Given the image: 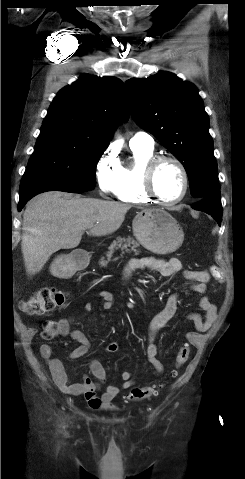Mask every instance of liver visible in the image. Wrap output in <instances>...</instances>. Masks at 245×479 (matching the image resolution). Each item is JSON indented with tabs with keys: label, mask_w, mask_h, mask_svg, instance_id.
<instances>
[{
	"label": "liver",
	"mask_w": 245,
	"mask_h": 479,
	"mask_svg": "<svg viewBox=\"0 0 245 479\" xmlns=\"http://www.w3.org/2000/svg\"><path fill=\"white\" fill-rule=\"evenodd\" d=\"M129 204L47 192L33 198L23 214L21 249L26 271H41L60 249L79 245L86 229L92 236H106L122 225Z\"/></svg>",
	"instance_id": "obj_1"
}]
</instances>
